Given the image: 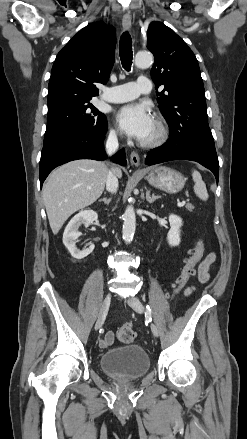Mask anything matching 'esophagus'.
<instances>
[{"label": "esophagus", "mask_w": 247, "mask_h": 439, "mask_svg": "<svg viewBox=\"0 0 247 439\" xmlns=\"http://www.w3.org/2000/svg\"><path fill=\"white\" fill-rule=\"evenodd\" d=\"M131 24H132L131 16L128 15V14L124 15L123 18H122L123 28L125 30L130 29ZM130 162L135 167H138L140 165V157H139L138 153L132 152L130 154Z\"/></svg>", "instance_id": "esophagus-1"}]
</instances>
